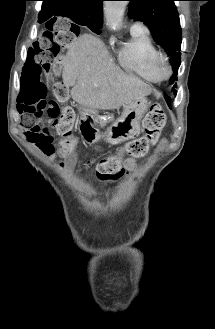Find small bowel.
Instances as JSON below:
<instances>
[{"label":"small bowel","instance_id":"small-bowel-1","mask_svg":"<svg viewBox=\"0 0 215 329\" xmlns=\"http://www.w3.org/2000/svg\"><path fill=\"white\" fill-rule=\"evenodd\" d=\"M22 125L23 127L25 126L24 128L28 140L32 144L36 145L40 151H42L44 154L48 156H50L54 152L53 136L49 133V131L46 128L41 126V131L39 134L31 132L34 126V118L31 117L22 118ZM42 140H44L45 142L51 145L52 151L48 152L41 149L39 144L42 142ZM125 165L128 170H133L135 168V163L133 160H126Z\"/></svg>","mask_w":215,"mask_h":329}]
</instances>
